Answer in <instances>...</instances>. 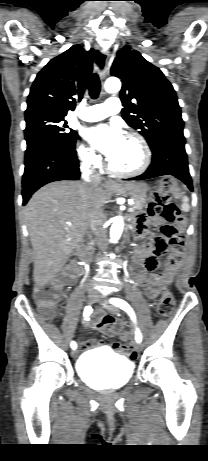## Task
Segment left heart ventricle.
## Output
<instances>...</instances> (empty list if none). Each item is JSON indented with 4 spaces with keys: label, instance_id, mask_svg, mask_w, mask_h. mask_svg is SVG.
<instances>
[{
    "label": "left heart ventricle",
    "instance_id": "1",
    "mask_svg": "<svg viewBox=\"0 0 208 461\" xmlns=\"http://www.w3.org/2000/svg\"><path fill=\"white\" fill-rule=\"evenodd\" d=\"M109 160L117 170H134L142 163L140 146L134 139L125 137L118 151Z\"/></svg>",
    "mask_w": 208,
    "mask_h": 461
}]
</instances>
